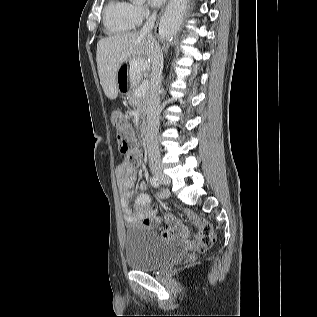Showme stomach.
<instances>
[{"mask_svg":"<svg viewBox=\"0 0 317 317\" xmlns=\"http://www.w3.org/2000/svg\"><path fill=\"white\" fill-rule=\"evenodd\" d=\"M147 65V59H138L135 55L131 59H124L120 69L117 70V84L115 85L117 93L132 94L129 92V87L142 83L140 74L145 73V66Z\"/></svg>","mask_w":317,"mask_h":317,"instance_id":"obj_1","label":"stomach"}]
</instances>
